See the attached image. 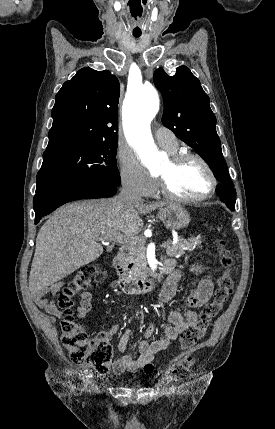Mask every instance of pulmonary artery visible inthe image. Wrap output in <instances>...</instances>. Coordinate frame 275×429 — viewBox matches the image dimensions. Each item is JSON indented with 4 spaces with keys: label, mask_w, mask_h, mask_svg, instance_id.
I'll return each instance as SVG.
<instances>
[{
    "label": "pulmonary artery",
    "mask_w": 275,
    "mask_h": 429,
    "mask_svg": "<svg viewBox=\"0 0 275 429\" xmlns=\"http://www.w3.org/2000/svg\"><path fill=\"white\" fill-rule=\"evenodd\" d=\"M155 137L160 146L169 152H175L178 147V143L175 135L167 129H157Z\"/></svg>",
    "instance_id": "pulmonary-artery-1"
}]
</instances>
